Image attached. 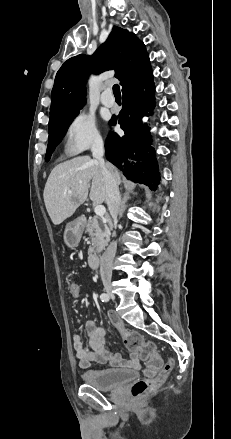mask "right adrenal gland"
Wrapping results in <instances>:
<instances>
[{
    "label": "right adrenal gland",
    "mask_w": 231,
    "mask_h": 439,
    "mask_svg": "<svg viewBox=\"0 0 231 439\" xmlns=\"http://www.w3.org/2000/svg\"><path fill=\"white\" fill-rule=\"evenodd\" d=\"M130 197L128 195H124L120 200V210H119V217L121 218L123 216V213L125 209L127 208L126 202L128 201Z\"/></svg>",
    "instance_id": "obj_1"
}]
</instances>
